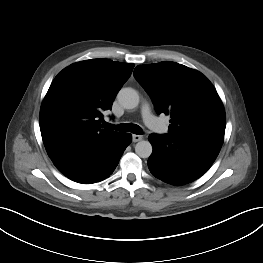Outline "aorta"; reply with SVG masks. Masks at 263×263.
<instances>
[{
	"mask_svg": "<svg viewBox=\"0 0 263 263\" xmlns=\"http://www.w3.org/2000/svg\"><path fill=\"white\" fill-rule=\"evenodd\" d=\"M119 103L126 109H133L139 104V95L133 88H122L117 95ZM153 148L149 141H139L135 146L136 154L141 158H149Z\"/></svg>",
	"mask_w": 263,
	"mask_h": 263,
	"instance_id": "obj_1",
	"label": "aorta"
}]
</instances>
